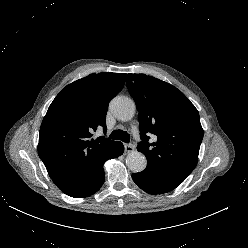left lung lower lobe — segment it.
I'll return each instance as SVG.
<instances>
[{"label": "left lung lower lobe", "mask_w": 248, "mask_h": 248, "mask_svg": "<svg viewBox=\"0 0 248 248\" xmlns=\"http://www.w3.org/2000/svg\"><path fill=\"white\" fill-rule=\"evenodd\" d=\"M132 179L142 190L152 195L167 193L175 188L166 182L158 180L152 173L145 170L133 173Z\"/></svg>", "instance_id": "left-lung-lower-lobe-1"}]
</instances>
